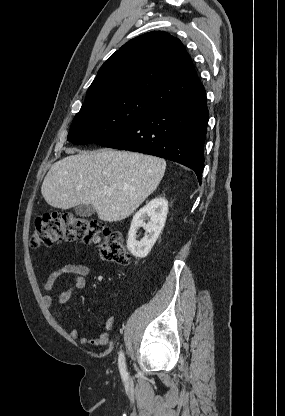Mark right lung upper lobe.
<instances>
[{
    "label": "right lung upper lobe",
    "mask_w": 285,
    "mask_h": 416,
    "mask_svg": "<svg viewBox=\"0 0 285 416\" xmlns=\"http://www.w3.org/2000/svg\"><path fill=\"white\" fill-rule=\"evenodd\" d=\"M204 90L181 41L152 31L126 44L102 65L83 108L138 96L164 106Z\"/></svg>",
    "instance_id": "cb5924a9"
}]
</instances>
